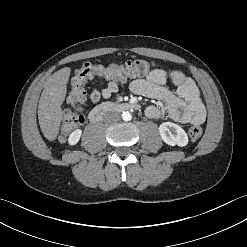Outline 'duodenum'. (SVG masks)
<instances>
[{
  "mask_svg": "<svg viewBox=\"0 0 247 247\" xmlns=\"http://www.w3.org/2000/svg\"><path fill=\"white\" fill-rule=\"evenodd\" d=\"M138 109V105L130 102H122V103H112L106 102L96 106L89 113V120L92 123L99 122L102 117L108 113L113 111H129Z\"/></svg>",
  "mask_w": 247,
  "mask_h": 247,
  "instance_id": "410a0bca",
  "label": "duodenum"
}]
</instances>
